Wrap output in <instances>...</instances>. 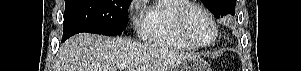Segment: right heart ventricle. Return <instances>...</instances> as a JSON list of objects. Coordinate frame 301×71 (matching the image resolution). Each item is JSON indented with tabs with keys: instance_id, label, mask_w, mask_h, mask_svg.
<instances>
[{
	"instance_id": "right-heart-ventricle-1",
	"label": "right heart ventricle",
	"mask_w": 301,
	"mask_h": 71,
	"mask_svg": "<svg viewBox=\"0 0 301 71\" xmlns=\"http://www.w3.org/2000/svg\"><path fill=\"white\" fill-rule=\"evenodd\" d=\"M185 0H159L148 7L141 23V36L147 42L169 49L188 51L193 47L184 41L176 29L174 11Z\"/></svg>"
}]
</instances>
